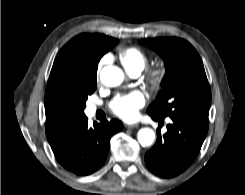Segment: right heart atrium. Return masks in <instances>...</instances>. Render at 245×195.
<instances>
[{
	"mask_svg": "<svg viewBox=\"0 0 245 195\" xmlns=\"http://www.w3.org/2000/svg\"><path fill=\"white\" fill-rule=\"evenodd\" d=\"M105 61H106V58H103V59L101 60V62H100V64H99V68L105 63Z\"/></svg>",
	"mask_w": 245,
	"mask_h": 195,
	"instance_id": "obj_1",
	"label": "right heart atrium"
}]
</instances>
